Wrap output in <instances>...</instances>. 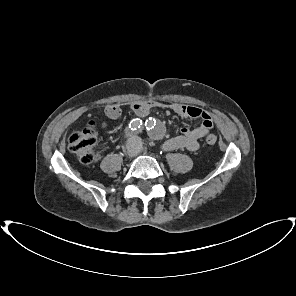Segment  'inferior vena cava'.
<instances>
[{
    "instance_id": "602c4592",
    "label": "inferior vena cava",
    "mask_w": 296,
    "mask_h": 296,
    "mask_svg": "<svg viewBox=\"0 0 296 296\" xmlns=\"http://www.w3.org/2000/svg\"><path fill=\"white\" fill-rule=\"evenodd\" d=\"M141 147H142V140L140 137L134 135L128 139L127 148L132 153L137 154L138 152H140Z\"/></svg>"
}]
</instances>
